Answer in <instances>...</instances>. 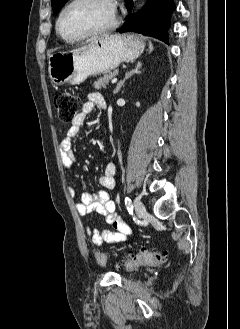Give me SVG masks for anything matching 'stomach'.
Masks as SVG:
<instances>
[{
  "label": "stomach",
  "mask_w": 240,
  "mask_h": 329,
  "mask_svg": "<svg viewBox=\"0 0 240 329\" xmlns=\"http://www.w3.org/2000/svg\"><path fill=\"white\" fill-rule=\"evenodd\" d=\"M143 48V41L135 35L102 36L85 50L52 54L49 57V75L57 85H77L92 75L117 68L122 62L134 61Z\"/></svg>",
  "instance_id": "obj_1"
}]
</instances>
